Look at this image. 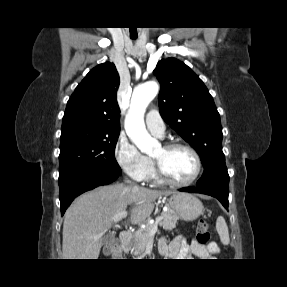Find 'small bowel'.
I'll return each mask as SVG.
<instances>
[{
  "label": "small bowel",
  "instance_id": "c3829d8e",
  "mask_svg": "<svg viewBox=\"0 0 287 287\" xmlns=\"http://www.w3.org/2000/svg\"><path fill=\"white\" fill-rule=\"evenodd\" d=\"M216 242H210L208 245H201L196 240L189 243L183 236H176L169 244L165 239L159 242V251L167 259H186L195 256L200 259H206L211 254L218 251Z\"/></svg>",
  "mask_w": 287,
  "mask_h": 287
}]
</instances>
